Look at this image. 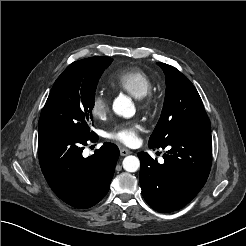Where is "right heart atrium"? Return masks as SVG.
Returning a JSON list of instances; mask_svg holds the SVG:
<instances>
[{
	"label": "right heart atrium",
	"mask_w": 246,
	"mask_h": 246,
	"mask_svg": "<svg viewBox=\"0 0 246 246\" xmlns=\"http://www.w3.org/2000/svg\"><path fill=\"white\" fill-rule=\"evenodd\" d=\"M109 112L110 100L108 96L101 92L95 94L90 105L91 115L96 119L103 120L107 117Z\"/></svg>",
	"instance_id": "d8ad5b80"
}]
</instances>
